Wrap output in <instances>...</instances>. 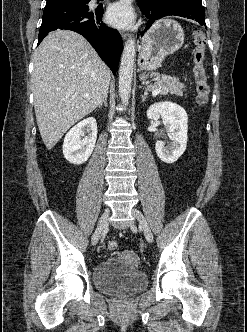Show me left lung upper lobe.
I'll return each mask as SVG.
<instances>
[{
	"label": "left lung upper lobe",
	"mask_w": 247,
	"mask_h": 332,
	"mask_svg": "<svg viewBox=\"0 0 247 332\" xmlns=\"http://www.w3.org/2000/svg\"><path fill=\"white\" fill-rule=\"evenodd\" d=\"M171 2H187V3H193V4H201L202 0H138L139 6H158L161 4H167Z\"/></svg>",
	"instance_id": "left-lung-upper-lobe-1"
}]
</instances>
